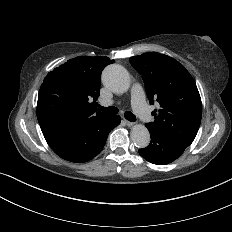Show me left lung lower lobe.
I'll return each mask as SVG.
<instances>
[{
	"label": "left lung lower lobe",
	"mask_w": 232,
	"mask_h": 232,
	"mask_svg": "<svg viewBox=\"0 0 232 232\" xmlns=\"http://www.w3.org/2000/svg\"><path fill=\"white\" fill-rule=\"evenodd\" d=\"M148 130L151 142L146 148L140 149L139 154L153 164L165 165L171 163L179 158L188 147L160 132L149 128Z\"/></svg>",
	"instance_id": "0a47b994"
}]
</instances>
